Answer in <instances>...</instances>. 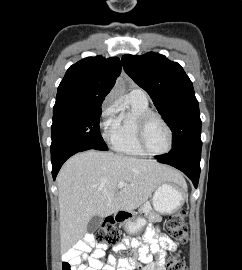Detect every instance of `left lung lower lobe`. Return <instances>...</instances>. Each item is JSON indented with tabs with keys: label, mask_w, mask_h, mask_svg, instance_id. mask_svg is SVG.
Returning <instances> with one entry per match:
<instances>
[{
	"label": "left lung lower lobe",
	"mask_w": 242,
	"mask_h": 270,
	"mask_svg": "<svg viewBox=\"0 0 242 270\" xmlns=\"http://www.w3.org/2000/svg\"><path fill=\"white\" fill-rule=\"evenodd\" d=\"M158 162L169 164L184 172L197 187L200 175L201 148L188 150L174 156H156Z\"/></svg>",
	"instance_id": "1"
}]
</instances>
